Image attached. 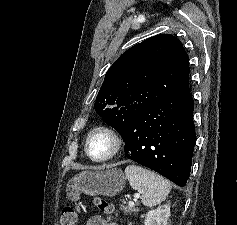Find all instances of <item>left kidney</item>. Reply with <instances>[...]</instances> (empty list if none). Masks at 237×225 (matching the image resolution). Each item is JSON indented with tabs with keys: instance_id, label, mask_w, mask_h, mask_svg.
I'll use <instances>...</instances> for the list:
<instances>
[{
	"instance_id": "1",
	"label": "left kidney",
	"mask_w": 237,
	"mask_h": 225,
	"mask_svg": "<svg viewBox=\"0 0 237 225\" xmlns=\"http://www.w3.org/2000/svg\"><path fill=\"white\" fill-rule=\"evenodd\" d=\"M170 217V205L159 206L146 214L144 225H168L167 220Z\"/></svg>"
}]
</instances>
